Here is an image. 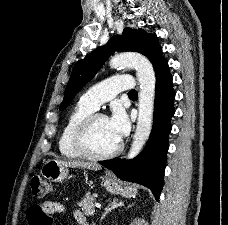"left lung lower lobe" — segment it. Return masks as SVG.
Returning a JSON list of instances; mask_svg holds the SVG:
<instances>
[{
	"label": "left lung lower lobe",
	"instance_id": "obj_1",
	"mask_svg": "<svg viewBox=\"0 0 228 225\" xmlns=\"http://www.w3.org/2000/svg\"><path fill=\"white\" fill-rule=\"evenodd\" d=\"M154 70L156 86L153 127L146 147L133 160L114 158L99 163L112 170L122 180L148 187L158 200L163 187L166 153L169 147L168 135L171 132L170 120L175 113V92L165 58Z\"/></svg>",
	"mask_w": 228,
	"mask_h": 225
}]
</instances>
